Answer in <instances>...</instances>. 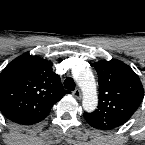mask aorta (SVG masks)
I'll return each instance as SVG.
<instances>
[{"label": "aorta", "instance_id": "762f6f07", "mask_svg": "<svg viewBox=\"0 0 145 145\" xmlns=\"http://www.w3.org/2000/svg\"><path fill=\"white\" fill-rule=\"evenodd\" d=\"M73 77L83 92L82 106L85 111L92 112L98 105L96 82L92 71L86 67H78Z\"/></svg>", "mask_w": 145, "mask_h": 145}]
</instances>
